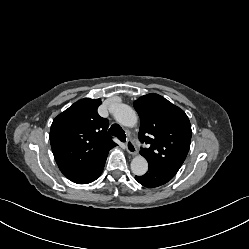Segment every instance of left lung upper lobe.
Segmentation results:
<instances>
[{"label": "left lung upper lobe", "instance_id": "left-lung-upper-lobe-1", "mask_svg": "<svg viewBox=\"0 0 249 249\" xmlns=\"http://www.w3.org/2000/svg\"><path fill=\"white\" fill-rule=\"evenodd\" d=\"M140 116L139 139L149 145L141 149L150 167L175 175L191 143V125L185 112L158 94L134 102Z\"/></svg>", "mask_w": 249, "mask_h": 249}]
</instances>
